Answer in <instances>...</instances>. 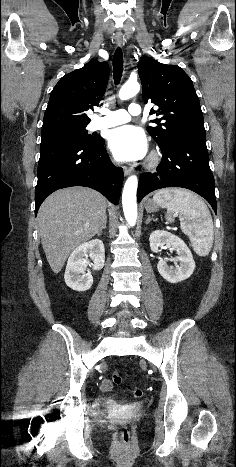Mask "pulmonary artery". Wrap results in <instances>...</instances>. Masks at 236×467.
Masks as SVG:
<instances>
[{
  "label": "pulmonary artery",
  "mask_w": 236,
  "mask_h": 467,
  "mask_svg": "<svg viewBox=\"0 0 236 467\" xmlns=\"http://www.w3.org/2000/svg\"><path fill=\"white\" fill-rule=\"evenodd\" d=\"M141 114V107L138 103H132L129 106L128 111L124 109H118L115 111H103L101 117L95 118L91 122V128L93 130L110 128L130 121L131 116H137Z\"/></svg>",
  "instance_id": "pulmonary-artery-1"
}]
</instances>
